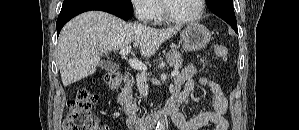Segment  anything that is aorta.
<instances>
[{"instance_id":"1","label":"aorta","mask_w":299,"mask_h":130,"mask_svg":"<svg viewBox=\"0 0 299 130\" xmlns=\"http://www.w3.org/2000/svg\"><path fill=\"white\" fill-rule=\"evenodd\" d=\"M165 129V124L164 121H158L157 126H156V130H164Z\"/></svg>"}]
</instances>
